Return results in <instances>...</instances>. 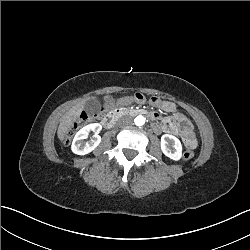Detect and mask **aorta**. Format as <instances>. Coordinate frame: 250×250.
Listing matches in <instances>:
<instances>
[{"instance_id":"1","label":"aorta","mask_w":250,"mask_h":250,"mask_svg":"<svg viewBox=\"0 0 250 250\" xmlns=\"http://www.w3.org/2000/svg\"><path fill=\"white\" fill-rule=\"evenodd\" d=\"M135 124L138 126H142L145 123V118L143 116H137L134 120Z\"/></svg>"}]
</instances>
